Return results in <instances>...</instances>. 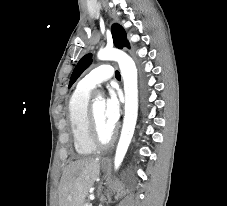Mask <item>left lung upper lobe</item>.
Masks as SVG:
<instances>
[{
	"label": "left lung upper lobe",
	"instance_id": "5c2ea615",
	"mask_svg": "<svg viewBox=\"0 0 227 206\" xmlns=\"http://www.w3.org/2000/svg\"><path fill=\"white\" fill-rule=\"evenodd\" d=\"M111 32H112L114 45L117 48L122 49L124 47H128V48L130 47L129 42L127 41V38H126V33L119 24L112 25ZM91 62H92L91 54H86L80 59V61L77 63L71 75L69 88L77 80V78L82 74V72L90 66Z\"/></svg>",
	"mask_w": 227,
	"mask_h": 206
}]
</instances>
